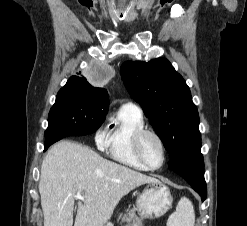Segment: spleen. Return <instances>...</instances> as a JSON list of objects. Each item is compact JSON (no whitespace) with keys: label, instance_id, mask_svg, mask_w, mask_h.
<instances>
[{"label":"spleen","instance_id":"1","mask_svg":"<svg viewBox=\"0 0 247 226\" xmlns=\"http://www.w3.org/2000/svg\"><path fill=\"white\" fill-rule=\"evenodd\" d=\"M195 213L192 202L182 197L176 207V211L170 215L167 226H194Z\"/></svg>","mask_w":247,"mask_h":226}]
</instances>
